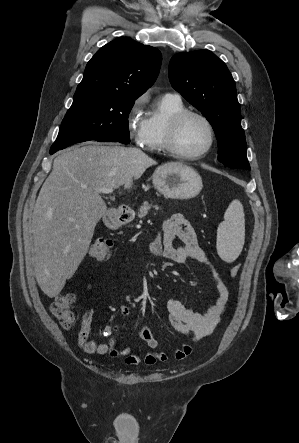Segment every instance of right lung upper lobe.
Instances as JSON below:
<instances>
[{"instance_id":"1","label":"right lung upper lobe","mask_w":299,"mask_h":443,"mask_svg":"<svg viewBox=\"0 0 299 443\" xmlns=\"http://www.w3.org/2000/svg\"><path fill=\"white\" fill-rule=\"evenodd\" d=\"M158 49L127 37L117 38L87 63L76 92H104L137 99L155 82L161 65Z\"/></svg>"}]
</instances>
